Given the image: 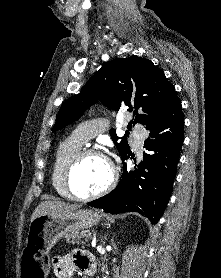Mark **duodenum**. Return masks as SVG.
Here are the masks:
<instances>
[{
	"mask_svg": "<svg viewBox=\"0 0 221 278\" xmlns=\"http://www.w3.org/2000/svg\"><path fill=\"white\" fill-rule=\"evenodd\" d=\"M94 268H95V266L92 269L88 270L86 273L93 274L94 273Z\"/></svg>",
	"mask_w": 221,
	"mask_h": 278,
	"instance_id": "obj_1",
	"label": "duodenum"
}]
</instances>
